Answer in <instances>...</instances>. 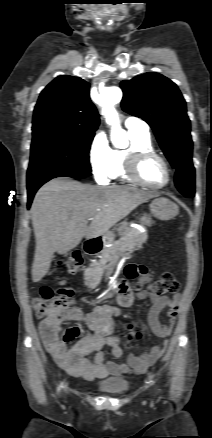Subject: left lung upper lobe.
Wrapping results in <instances>:
<instances>
[{"label": "left lung upper lobe", "instance_id": "5c2ea615", "mask_svg": "<svg viewBox=\"0 0 212 438\" xmlns=\"http://www.w3.org/2000/svg\"><path fill=\"white\" fill-rule=\"evenodd\" d=\"M122 109L145 120L174 169L192 157L190 120L177 85L161 74L149 72L121 82Z\"/></svg>", "mask_w": 212, "mask_h": 438}]
</instances>
